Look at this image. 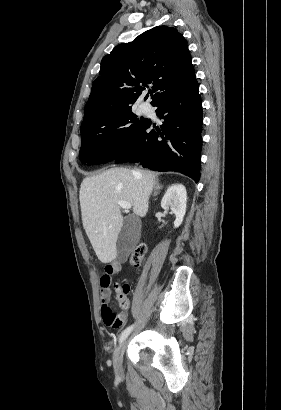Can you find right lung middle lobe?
<instances>
[{"instance_id": "right-lung-middle-lobe-1", "label": "right lung middle lobe", "mask_w": 281, "mask_h": 410, "mask_svg": "<svg viewBox=\"0 0 281 410\" xmlns=\"http://www.w3.org/2000/svg\"><path fill=\"white\" fill-rule=\"evenodd\" d=\"M147 119L138 118L131 106L109 111L81 125L80 160L101 164L115 160L136 138Z\"/></svg>"}]
</instances>
